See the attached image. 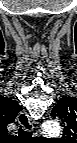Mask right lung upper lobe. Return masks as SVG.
<instances>
[{"label": "right lung upper lobe", "instance_id": "obj_1", "mask_svg": "<svg viewBox=\"0 0 77 143\" xmlns=\"http://www.w3.org/2000/svg\"><path fill=\"white\" fill-rule=\"evenodd\" d=\"M22 110L21 106L8 97L0 96V127L7 132L6 126L12 123Z\"/></svg>", "mask_w": 77, "mask_h": 143}]
</instances>
